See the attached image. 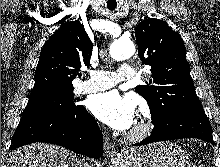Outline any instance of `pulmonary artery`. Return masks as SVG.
<instances>
[{"instance_id":"pulmonary-artery-1","label":"pulmonary artery","mask_w":220,"mask_h":167,"mask_svg":"<svg viewBox=\"0 0 220 167\" xmlns=\"http://www.w3.org/2000/svg\"><path fill=\"white\" fill-rule=\"evenodd\" d=\"M89 80L79 86L81 93H93L109 89L119 82L132 79L135 76V69L130 64H121L117 72L94 70L89 73Z\"/></svg>"}]
</instances>
